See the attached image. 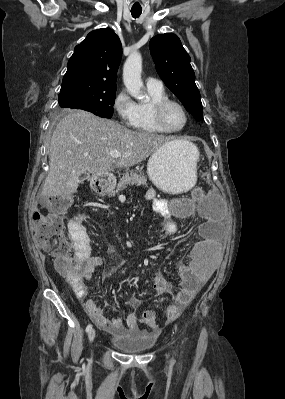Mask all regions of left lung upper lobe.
Returning a JSON list of instances; mask_svg holds the SVG:
<instances>
[{
  "mask_svg": "<svg viewBox=\"0 0 285 399\" xmlns=\"http://www.w3.org/2000/svg\"><path fill=\"white\" fill-rule=\"evenodd\" d=\"M155 68L165 85L177 96L197 121H204L200 92L190 56L173 33L153 37L149 42Z\"/></svg>",
  "mask_w": 285,
  "mask_h": 399,
  "instance_id": "left-lung-upper-lobe-1",
  "label": "left lung upper lobe"
}]
</instances>
